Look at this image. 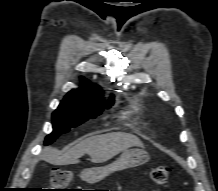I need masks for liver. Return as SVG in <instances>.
<instances>
[{
  "label": "liver",
  "instance_id": "liver-1",
  "mask_svg": "<svg viewBox=\"0 0 218 191\" xmlns=\"http://www.w3.org/2000/svg\"><path fill=\"white\" fill-rule=\"evenodd\" d=\"M130 147L144 148V145L133 134L111 132L86 138L63 154L53 148H47L42 157L53 165H68L79 163V158L88 154L93 163H103Z\"/></svg>",
  "mask_w": 218,
  "mask_h": 191
}]
</instances>
